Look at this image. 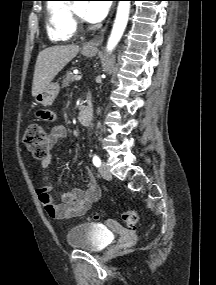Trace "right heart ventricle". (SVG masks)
<instances>
[{"instance_id": "obj_1", "label": "right heart ventricle", "mask_w": 216, "mask_h": 285, "mask_svg": "<svg viewBox=\"0 0 216 285\" xmlns=\"http://www.w3.org/2000/svg\"><path fill=\"white\" fill-rule=\"evenodd\" d=\"M46 31L53 43L68 42L75 35L70 4L62 0H51L46 5Z\"/></svg>"}]
</instances>
